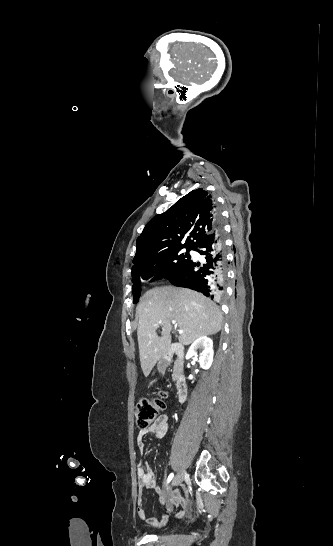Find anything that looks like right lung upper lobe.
<instances>
[{
	"instance_id": "1",
	"label": "right lung upper lobe",
	"mask_w": 333,
	"mask_h": 546,
	"mask_svg": "<svg viewBox=\"0 0 333 546\" xmlns=\"http://www.w3.org/2000/svg\"><path fill=\"white\" fill-rule=\"evenodd\" d=\"M215 214L214 199L200 188L156 215L137 239L132 274L154 267L160 256L170 250L193 247L214 230Z\"/></svg>"
}]
</instances>
